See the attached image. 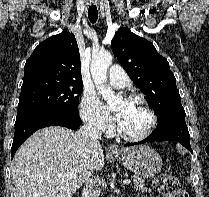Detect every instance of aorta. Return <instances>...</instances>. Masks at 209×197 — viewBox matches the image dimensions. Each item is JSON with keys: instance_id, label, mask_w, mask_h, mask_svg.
I'll list each match as a JSON object with an SVG mask.
<instances>
[{"instance_id": "762f6f07", "label": "aorta", "mask_w": 209, "mask_h": 197, "mask_svg": "<svg viewBox=\"0 0 209 197\" xmlns=\"http://www.w3.org/2000/svg\"><path fill=\"white\" fill-rule=\"evenodd\" d=\"M113 56L108 51H103L92 57L90 71L97 90L105 100L117 98L110 87L105 85L107 79V69L112 62Z\"/></svg>"}]
</instances>
